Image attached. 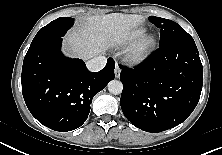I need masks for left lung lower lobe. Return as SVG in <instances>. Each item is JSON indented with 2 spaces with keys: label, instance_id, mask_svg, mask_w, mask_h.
<instances>
[{
  "label": "left lung lower lobe",
  "instance_id": "obj_1",
  "mask_svg": "<svg viewBox=\"0 0 222 155\" xmlns=\"http://www.w3.org/2000/svg\"><path fill=\"white\" fill-rule=\"evenodd\" d=\"M121 68V108L141 130L156 133L175 127L199 101L203 67L195 43L159 46L141 65Z\"/></svg>",
  "mask_w": 222,
  "mask_h": 155
}]
</instances>
